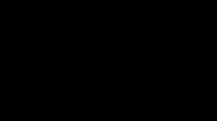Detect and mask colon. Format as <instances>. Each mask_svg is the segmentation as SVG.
<instances>
[{"label": "colon", "mask_w": 217, "mask_h": 121, "mask_svg": "<svg viewBox=\"0 0 217 121\" xmlns=\"http://www.w3.org/2000/svg\"><path fill=\"white\" fill-rule=\"evenodd\" d=\"M185 2V1H184ZM63 19L57 12H51L42 23V30L47 35H54L58 31Z\"/></svg>", "instance_id": "colon-1"}]
</instances>
